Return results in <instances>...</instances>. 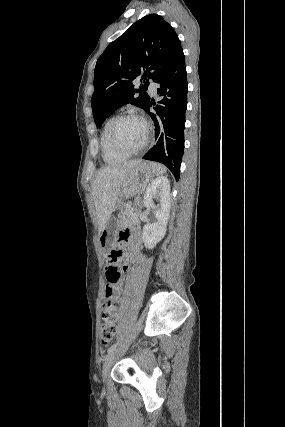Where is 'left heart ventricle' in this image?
I'll return each mask as SVG.
<instances>
[{
	"mask_svg": "<svg viewBox=\"0 0 285 427\" xmlns=\"http://www.w3.org/2000/svg\"><path fill=\"white\" fill-rule=\"evenodd\" d=\"M145 135V125L136 119L123 120L116 130L118 142L127 149L138 147L143 142Z\"/></svg>",
	"mask_w": 285,
	"mask_h": 427,
	"instance_id": "obj_1",
	"label": "left heart ventricle"
}]
</instances>
